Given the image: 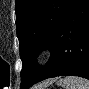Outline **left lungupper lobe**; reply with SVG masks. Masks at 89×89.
Segmentation results:
<instances>
[{"instance_id": "left-lung-upper-lobe-1", "label": "left lung upper lobe", "mask_w": 89, "mask_h": 89, "mask_svg": "<svg viewBox=\"0 0 89 89\" xmlns=\"http://www.w3.org/2000/svg\"><path fill=\"white\" fill-rule=\"evenodd\" d=\"M72 0H16V28L22 60L21 88L26 89L40 66L37 55L50 49Z\"/></svg>"}]
</instances>
